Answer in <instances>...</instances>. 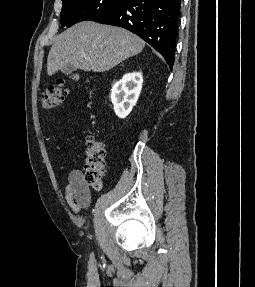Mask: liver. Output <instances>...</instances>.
I'll list each match as a JSON object with an SVG mask.
<instances>
[{"instance_id":"liver-1","label":"liver","mask_w":255,"mask_h":287,"mask_svg":"<svg viewBox=\"0 0 255 287\" xmlns=\"http://www.w3.org/2000/svg\"><path fill=\"white\" fill-rule=\"evenodd\" d=\"M144 46L141 38L124 28L80 22L56 36L47 58V74L53 76L64 66L105 72L140 54Z\"/></svg>"}]
</instances>
